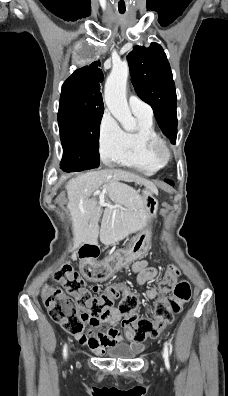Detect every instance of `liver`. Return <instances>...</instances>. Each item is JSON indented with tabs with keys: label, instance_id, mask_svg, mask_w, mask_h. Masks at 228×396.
Segmentation results:
<instances>
[{
	"label": "liver",
	"instance_id": "liver-1",
	"mask_svg": "<svg viewBox=\"0 0 228 396\" xmlns=\"http://www.w3.org/2000/svg\"><path fill=\"white\" fill-rule=\"evenodd\" d=\"M120 181L135 182L158 193L151 181L120 169L89 171L67 183V208L72 219L75 244H96L99 234L103 241L117 240L121 238L124 222H129L131 232L147 226V214L139 191ZM101 187L107 198L103 201L91 199L90 196ZM102 214L99 232L98 223Z\"/></svg>",
	"mask_w": 228,
	"mask_h": 396
}]
</instances>
